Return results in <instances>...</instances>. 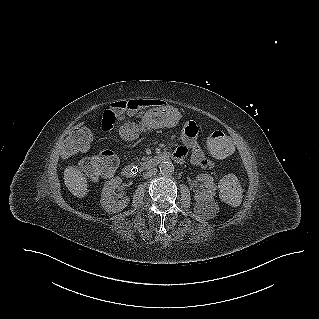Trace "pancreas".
Masks as SVG:
<instances>
[{"mask_svg": "<svg viewBox=\"0 0 319 319\" xmlns=\"http://www.w3.org/2000/svg\"><path fill=\"white\" fill-rule=\"evenodd\" d=\"M148 160H149V157H143L141 159L140 165L144 168Z\"/></svg>", "mask_w": 319, "mask_h": 319, "instance_id": "cf45deb5", "label": "pancreas"}]
</instances>
